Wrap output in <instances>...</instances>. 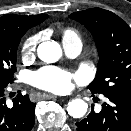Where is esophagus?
Returning a JSON list of instances; mask_svg holds the SVG:
<instances>
[{
    "label": "esophagus",
    "mask_w": 131,
    "mask_h": 131,
    "mask_svg": "<svg viewBox=\"0 0 131 131\" xmlns=\"http://www.w3.org/2000/svg\"><path fill=\"white\" fill-rule=\"evenodd\" d=\"M41 98L42 99H55V98H57V96L52 95V94L44 93V94L41 95Z\"/></svg>",
    "instance_id": "1"
}]
</instances>
